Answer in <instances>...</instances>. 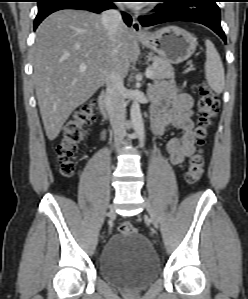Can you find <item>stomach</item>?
<instances>
[{"label":"stomach","instance_id":"stomach-1","mask_svg":"<svg viewBox=\"0 0 248 299\" xmlns=\"http://www.w3.org/2000/svg\"><path fill=\"white\" fill-rule=\"evenodd\" d=\"M147 48L171 64L186 61L195 52L194 36L177 26H167L139 38Z\"/></svg>","mask_w":248,"mask_h":299}]
</instances>
